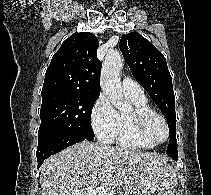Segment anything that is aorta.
<instances>
[{
	"instance_id": "aorta-1",
	"label": "aorta",
	"mask_w": 211,
	"mask_h": 195,
	"mask_svg": "<svg viewBox=\"0 0 211 195\" xmlns=\"http://www.w3.org/2000/svg\"><path fill=\"white\" fill-rule=\"evenodd\" d=\"M122 56L117 50L106 54L101 70V88L110 102L121 111L129 110L131 104L124 98L121 88L120 72L122 69Z\"/></svg>"
}]
</instances>
